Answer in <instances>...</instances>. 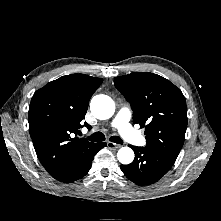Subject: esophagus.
<instances>
[{"mask_svg": "<svg viewBox=\"0 0 221 221\" xmlns=\"http://www.w3.org/2000/svg\"><path fill=\"white\" fill-rule=\"evenodd\" d=\"M107 147L110 149H119L121 145L113 143V142H107Z\"/></svg>", "mask_w": 221, "mask_h": 221, "instance_id": "esophagus-1", "label": "esophagus"}]
</instances>
